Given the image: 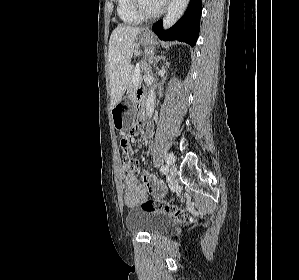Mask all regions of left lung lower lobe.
<instances>
[{
  "label": "left lung lower lobe",
  "mask_w": 299,
  "mask_h": 280,
  "mask_svg": "<svg viewBox=\"0 0 299 280\" xmlns=\"http://www.w3.org/2000/svg\"><path fill=\"white\" fill-rule=\"evenodd\" d=\"M201 12V0H190L185 14L173 27L164 31L162 21H159L152 29L161 39L179 40L194 46L199 35Z\"/></svg>",
  "instance_id": "obj_1"
}]
</instances>
